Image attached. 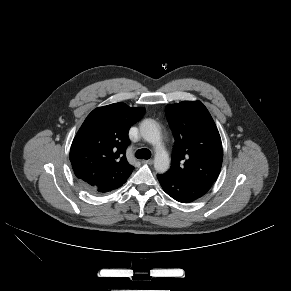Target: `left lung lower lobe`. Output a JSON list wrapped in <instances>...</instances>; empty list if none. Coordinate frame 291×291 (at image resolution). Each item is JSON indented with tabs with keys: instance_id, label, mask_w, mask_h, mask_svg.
Returning <instances> with one entry per match:
<instances>
[{
	"instance_id": "1",
	"label": "left lung lower lobe",
	"mask_w": 291,
	"mask_h": 291,
	"mask_svg": "<svg viewBox=\"0 0 291 291\" xmlns=\"http://www.w3.org/2000/svg\"><path fill=\"white\" fill-rule=\"evenodd\" d=\"M157 177L163 190L169 196L182 203L194 201L209 190V188L198 183L177 177L168 172L163 175H157Z\"/></svg>"
}]
</instances>
